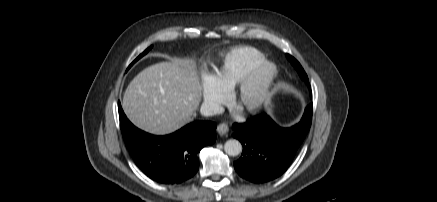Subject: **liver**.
Wrapping results in <instances>:
<instances>
[{"label": "liver", "mask_w": 437, "mask_h": 202, "mask_svg": "<svg viewBox=\"0 0 437 202\" xmlns=\"http://www.w3.org/2000/svg\"><path fill=\"white\" fill-rule=\"evenodd\" d=\"M201 91L193 60L160 62L134 77L124 93L122 108L136 127L164 135L192 119L201 101Z\"/></svg>", "instance_id": "1"}]
</instances>
